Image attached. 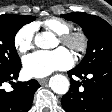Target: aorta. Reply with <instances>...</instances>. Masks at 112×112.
<instances>
[{
  "label": "aorta",
  "mask_w": 112,
  "mask_h": 112,
  "mask_svg": "<svg viewBox=\"0 0 112 112\" xmlns=\"http://www.w3.org/2000/svg\"><path fill=\"white\" fill-rule=\"evenodd\" d=\"M35 45L42 49H49L53 47L54 36L49 32L38 33L34 39ZM49 85L51 89L60 95L68 92L70 83L67 77L57 74L51 77Z\"/></svg>",
  "instance_id": "762f6f07"
}]
</instances>
